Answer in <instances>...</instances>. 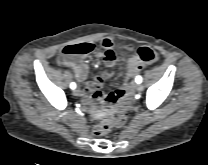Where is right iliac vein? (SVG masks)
I'll list each match as a JSON object with an SVG mask.
<instances>
[{
	"mask_svg": "<svg viewBox=\"0 0 208 165\" xmlns=\"http://www.w3.org/2000/svg\"><path fill=\"white\" fill-rule=\"evenodd\" d=\"M79 94H80V91L78 89L73 90V95L74 96H79Z\"/></svg>",
	"mask_w": 208,
	"mask_h": 165,
	"instance_id": "right-iliac-vein-1",
	"label": "right iliac vein"
}]
</instances>
